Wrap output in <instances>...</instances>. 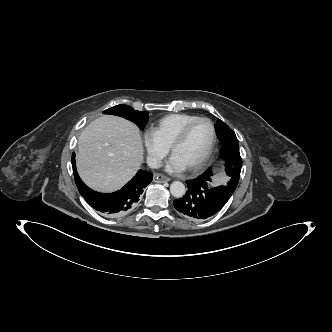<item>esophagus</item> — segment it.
Here are the masks:
<instances>
[{"instance_id":"esophagus-1","label":"esophagus","mask_w":332,"mask_h":332,"mask_svg":"<svg viewBox=\"0 0 332 332\" xmlns=\"http://www.w3.org/2000/svg\"><path fill=\"white\" fill-rule=\"evenodd\" d=\"M168 181H170V178L165 175H162V174L154 175V182L163 183V182H168Z\"/></svg>"}]
</instances>
